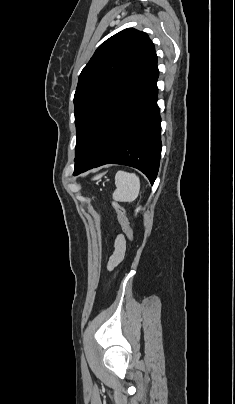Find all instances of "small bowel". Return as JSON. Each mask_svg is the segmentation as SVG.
<instances>
[{
    "label": "small bowel",
    "instance_id": "obj_1",
    "mask_svg": "<svg viewBox=\"0 0 235 404\" xmlns=\"http://www.w3.org/2000/svg\"><path fill=\"white\" fill-rule=\"evenodd\" d=\"M125 240L122 236H118L114 242V250L109 257L107 268L113 270L124 258L125 256Z\"/></svg>",
    "mask_w": 235,
    "mask_h": 404
}]
</instances>
